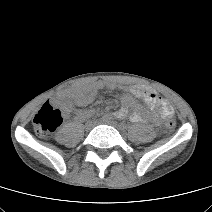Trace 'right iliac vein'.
Returning <instances> with one entry per match:
<instances>
[{"instance_id": "obj_1", "label": "right iliac vein", "mask_w": 212, "mask_h": 212, "mask_svg": "<svg viewBox=\"0 0 212 212\" xmlns=\"http://www.w3.org/2000/svg\"><path fill=\"white\" fill-rule=\"evenodd\" d=\"M95 126L94 121H87L85 124V130L90 131Z\"/></svg>"}]
</instances>
